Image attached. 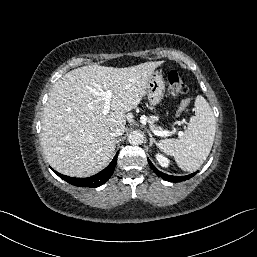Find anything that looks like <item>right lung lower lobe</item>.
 Masks as SVG:
<instances>
[{
    "label": "right lung lower lobe",
    "instance_id": "1",
    "mask_svg": "<svg viewBox=\"0 0 257 257\" xmlns=\"http://www.w3.org/2000/svg\"><path fill=\"white\" fill-rule=\"evenodd\" d=\"M118 153L115 155L114 159L112 162L101 172L95 174L94 176L88 177V178H74V177H69L65 176L63 174H60L56 171H53L63 180L66 182L78 186V187H98L103 185L113 174L115 166L117 164V156Z\"/></svg>",
    "mask_w": 257,
    "mask_h": 257
}]
</instances>
